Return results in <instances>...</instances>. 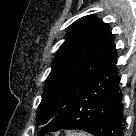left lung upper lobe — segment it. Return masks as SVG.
<instances>
[{
	"instance_id": "5c2ea615",
	"label": "left lung upper lobe",
	"mask_w": 136,
	"mask_h": 136,
	"mask_svg": "<svg viewBox=\"0 0 136 136\" xmlns=\"http://www.w3.org/2000/svg\"><path fill=\"white\" fill-rule=\"evenodd\" d=\"M112 39L107 24L93 15L70 26L46 79L37 125L52 120L105 63L114 46Z\"/></svg>"
}]
</instances>
